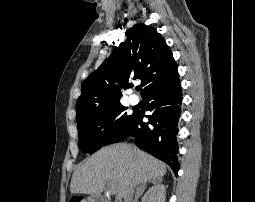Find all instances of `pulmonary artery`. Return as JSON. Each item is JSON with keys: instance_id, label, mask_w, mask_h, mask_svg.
Instances as JSON below:
<instances>
[{"instance_id": "1", "label": "pulmonary artery", "mask_w": 255, "mask_h": 202, "mask_svg": "<svg viewBox=\"0 0 255 202\" xmlns=\"http://www.w3.org/2000/svg\"><path fill=\"white\" fill-rule=\"evenodd\" d=\"M129 101H130V103H131L132 105H135V104L138 103V97H137L136 95H131V96L129 97Z\"/></svg>"}]
</instances>
